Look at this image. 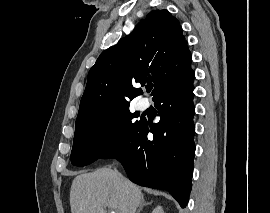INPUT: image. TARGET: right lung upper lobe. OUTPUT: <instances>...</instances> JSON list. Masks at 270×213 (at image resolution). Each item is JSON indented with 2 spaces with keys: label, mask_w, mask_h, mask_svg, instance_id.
Instances as JSON below:
<instances>
[{
  "label": "right lung upper lobe",
  "mask_w": 270,
  "mask_h": 213,
  "mask_svg": "<svg viewBox=\"0 0 270 213\" xmlns=\"http://www.w3.org/2000/svg\"><path fill=\"white\" fill-rule=\"evenodd\" d=\"M190 66L191 54L179 21L167 10H153L129 36L103 51L90 69L76 122L129 105L142 94L134 83L153 82L155 97Z\"/></svg>",
  "instance_id": "right-lung-upper-lobe-1"
}]
</instances>
